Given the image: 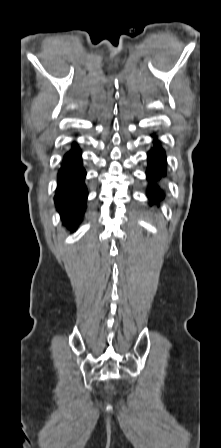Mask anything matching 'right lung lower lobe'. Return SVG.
Segmentation results:
<instances>
[{
  "mask_svg": "<svg viewBox=\"0 0 221 448\" xmlns=\"http://www.w3.org/2000/svg\"><path fill=\"white\" fill-rule=\"evenodd\" d=\"M86 172L82 167L81 152L77 146L68 152L59 171L58 187L55 195L57 210L63 222L75 231L84 213L87 189L84 184Z\"/></svg>",
  "mask_w": 221,
  "mask_h": 448,
  "instance_id": "98d812e1",
  "label": "right lung lower lobe"
}]
</instances>
